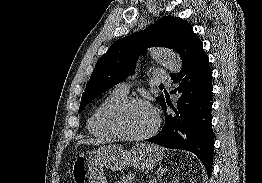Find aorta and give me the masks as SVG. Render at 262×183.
I'll return each instance as SVG.
<instances>
[{"label": "aorta", "mask_w": 262, "mask_h": 183, "mask_svg": "<svg viewBox=\"0 0 262 183\" xmlns=\"http://www.w3.org/2000/svg\"><path fill=\"white\" fill-rule=\"evenodd\" d=\"M150 56L153 60L162 64L173 73H179L182 69L180 56L171 50H153Z\"/></svg>", "instance_id": "aorta-1"}]
</instances>
